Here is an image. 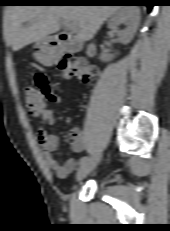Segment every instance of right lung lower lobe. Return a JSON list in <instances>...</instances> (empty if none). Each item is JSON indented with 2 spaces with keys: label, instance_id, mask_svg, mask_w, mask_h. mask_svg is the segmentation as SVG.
<instances>
[{
  "label": "right lung lower lobe",
  "instance_id": "98d812e1",
  "mask_svg": "<svg viewBox=\"0 0 170 231\" xmlns=\"http://www.w3.org/2000/svg\"><path fill=\"white\" fill-rule=\"evenodd\" d=\"M140 2H141L140 5H145V6H147V7H148V10H151L152 7H153V5H154V3H153L152 0H141ZM78 4H79V5H84L85 3H84V2H78Z\"/></svg>",
  "mask_w": 170,
  "mask_h": 231
}]
</instances>
